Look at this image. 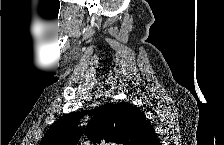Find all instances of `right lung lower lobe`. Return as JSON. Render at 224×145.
Returning <instances> with one entry per match:
<instances>
[{
	"instance_id": "98d812e1",
	"label": "right lung lower lobe",
	"mask_w": 224,
	"mask_h": 145,
	"mask_svg": "<svg viewBox=\"0 0 224 145\" xmlns=\"http://www.w3.org/2000/svg\"><path fill=\"white\" fill-rule=\"evenodd\" d=\"M152 144L153 145H159V142L158 141H154Z\"/></svg>"
}]
</instances>
